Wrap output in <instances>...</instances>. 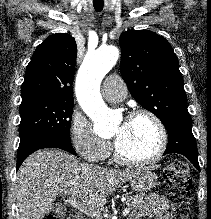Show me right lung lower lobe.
Returning a JSON list of instances; mask_svg holds the SVG:
<instances>
[{
	"label": "right lung lower lobe",
	"instance_id": "right-lung-lower-lobe-1",
	"mask_svg": "<svg viewBox=\"0 0 211 219\" xmlns=\"http://www.w3.org/2000/svg\"><path fill=\"white\" fill-rule=\"evenodd\" d=\"M42 148H60L76 155L71 142L53 136H39L19 145L16 164L17 170L26 157Z\"/></svg>",
	"mask_w": 211,
	"mask_h": 219
}]
</instances>
